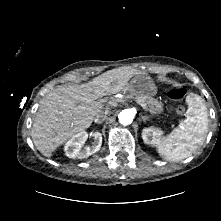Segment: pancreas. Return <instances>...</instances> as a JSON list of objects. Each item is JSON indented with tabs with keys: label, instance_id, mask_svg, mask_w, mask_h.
Returning <instances> with one entry per match:
<instances>
[{
	"label": "pancreas",
	"instance_id": "cf45deb5",
	"mask_svg": "<svg viewBox=\"0 0 221 221\" xmlns=\"http://www.w3.org/2000/svg\"><path fill=\"white\" fill-rule=\"evenodd\" d=\"M129 98H134L136 100H140L144 102L148 106V110L151 114H160L163 111L162 102L157 99L149 96V95H137L135 97L129 96Z\"/></svg>",
	"mask_w": 221,
	"mask_h": 221
}]
</instances>
